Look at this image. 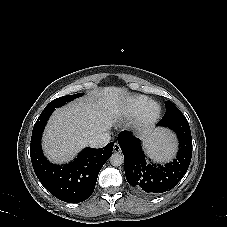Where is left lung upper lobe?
<instances>
[{"label":"left lung upper lobe","instance_id":"obj_1","mask_svg":"<svg viewBox=\"0 0 227 227\" xmlns=\"http://www.w3.org/2000/svg\"><path fill=\"white\" fill-rule=\"evenodd\" d=\"M171 105H174L171 101H166V108L171 106Z\"/></svg>","mask_w":227,"mask_h":227}]
</instances>
